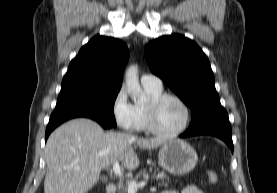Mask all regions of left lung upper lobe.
Masks as SVG:
<instances>
[{"label": "left lung upper lobe", "instance_id": "1", "mask_svg": "<svg viewBox=\"0 0 277 193\" xmlns=\"http://www.w3.org/2000/svg\"><path fill=\"white\" fill-rule=\"evenodd\" d=\"M144 53L151 71L190 107V127L226 112L215 89L210 62L194 41L180 34L162 36L150 42Z\"/></svg>", "mask_w": 277, "mask_h": 193}]
</instances>
